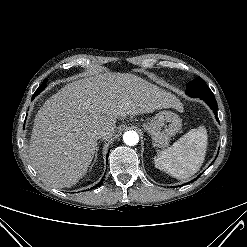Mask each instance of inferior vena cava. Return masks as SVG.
<instances>
[{"label":"inferior vena cava","instance_id":"obj_1","mask_svg":"<svg viewBox=\"0 0 247 247\" xmlns=\"http://www.w3.org/2000/svg\"><path fill=\"white\" fill-rule=\"evenodd\" d=\"M106 132L104 130H94L91 134V136L96 139V140H99V139H104L105 136H106Z\"/></svg>","mask_w":247,"mask_h":247}]
</instances>
